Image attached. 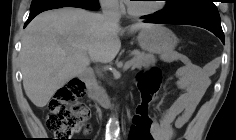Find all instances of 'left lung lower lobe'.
I'll use <instances>...</instances> for the list:
<instances>
[{"instance_id":"left-lung-lower-lobe-1","label":"left lung lower lobe","mask_w":236,"mask_h":140,"mask_svg":"<svg viewBox=\"0 0 236 140\" xmlns=\"http://www.w3.org/2000/svg\"><path fill=\"white\" fill-rule=\"evenodd\" d=\"M147 23H159V24H186L194 25L205 28L214 33L224 43L225 37L220 22L196 19V18H167L162 14H157L153 18H148Z\"/></svg>"}]
</instances>
